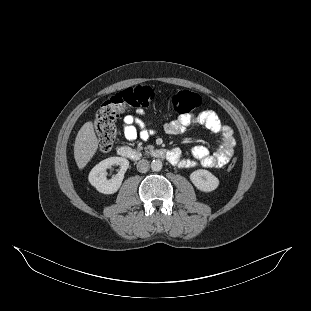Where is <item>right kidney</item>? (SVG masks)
<instances>
[{
	"label": "right kidney",
	"mask_w": 311,
	"mask_h": 311,
	"mask_svg": "<svg viewBox=\"0 0 311 311\" xmlns=\"http://www.w3.org/2000/svg\"><path fill=\"white\" fill-rule=\"evenodd\" d=\"M113 164L119 165L120 170L110 179H107L106 170ZM128 167L129 160L124 157L114 156L106 158L90 171L89 181L98 191L102 193H113L120 187Z\"/></svg>",
	"instance_id": "ca27d5eb"
}]
</instances>
